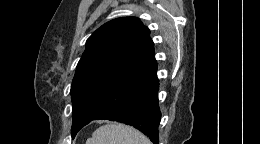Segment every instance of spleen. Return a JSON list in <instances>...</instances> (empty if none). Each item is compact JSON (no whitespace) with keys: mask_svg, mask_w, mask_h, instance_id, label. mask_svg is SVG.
<instances>
[{"mask_svg":"<svg viewBox=\"0 0 260 144\" xmlns=\"http://www.w3.org/2000/svg\"><path fill=\"white\" fill-rule=\"evenodd\" d=\"M86 144H151V142L130 126L111 123L96 129Z\"/></svg>","mask_w":260,"mask_h":144,"instance_id":"spleen-1","label":"spleen"}]
</instances>
